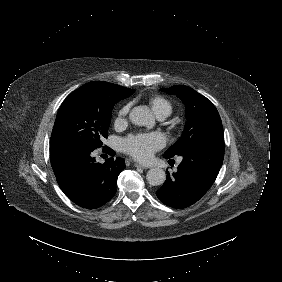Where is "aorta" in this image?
I'll list each match as a JSON object with an SVG mask.
<instances>
[{
  "mask_svg": "<svg viewBox=\"0 0 282 282\" xmlns=\"http://www.w3.org/2000/svg\"><path fill=\"white\" fill-rule=\"evenodd\" d=\"M130 119L138 126L154 128L156 125V119L147 106L135 107L130 113ZM146 179L153 186L162 185L166 180V173L163 169L155 167L147 172Z\"/></svg>",
  "mask_w": 282,
  "mask_h": 282,
  "instance_id": "762f6f07",
  "label": "aorta"
}]
</instances>
